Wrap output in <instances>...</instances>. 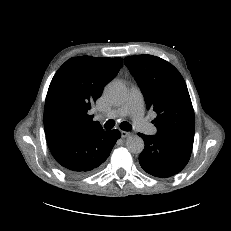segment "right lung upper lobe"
<instances>
[{
  "label": "right lung upper lobe",
  "mask_w": 231,
  "mask_h": 231,
  "mask_svg": "<svg viewBox=\"0 0 231 231\" xmlns=\"http://www.w3.org/2000/svg\"><path fill=\"white\" fill-rule=\"evenodd\" d=\"M122 65L121 58L80 56L67 60L54 75L46 96V138L102 129L88 111Z\"/></svg>",
  "instance_id": "obj_1"
}]
</instances>
